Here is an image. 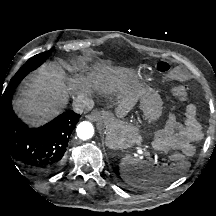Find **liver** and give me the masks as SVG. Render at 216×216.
Here are the masks:
<instances>
[{
    "label": "liver",
    "mask_w": 216,
    "mask_h": 216,
    "mask_svg": "<svg viewBox=\"0 0 216 216\" xmlns=\"http://www.w3.org/2000/svg\"><path fill=\"white\" fill-rule=\"evenodd\" d=\"M133 77L131 72L103 67L92 72L89 81L78 80L68 87L61 66L44 65L21 89L14 101L15 109L30 125L38 126L52 119L66 106L69 90L77 91L81 86L90 84L104 91L118 93L122 98L120 106L130 110L142 93Z\"/></svg>",
    "instance_id": "liver-1"
}]
</instances>
